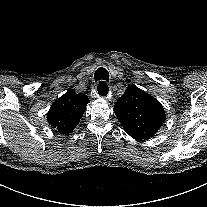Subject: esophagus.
<instances>
[{"mask_svg":"<svg viewBox=\"0 0 207 207\" xmlns=\"http://www.w3.org/2000/svg\"><path fill=\"white\" fill-rule=\"evenodd\" d=\"M93 93H94L95 97H98V91H97V88L96 87L94 88Z\"/></svg>","mask_w":207,"mask_h":207,"instance_id":"obj_1","label":"esophagus"}]
</instances>
